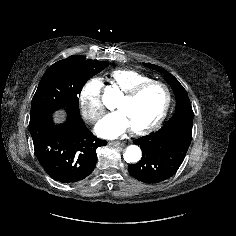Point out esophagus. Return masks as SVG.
<instances>
[{
    "mask_svg": "<svg viewBox=\"0 0 236 236\" xmlns=\"http://www.w3.org/2000/svg\"><path fill=\"white\" fill-rule=\"evenodd\" d=\"M109 145H112V146H122L123 143L120 142V141H110Z\"/></svg>",
    "mask_w": 236,
    "mask_h": 236,
    "instance_id": "1",
    "label": "esophagus"
}]
</instances>
